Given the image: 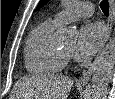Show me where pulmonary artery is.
Here are the masks:
<instances>
[{
    "label": "pulmonary artery",
    "mask_w": 115,
    "mask_h": 99,
    "mask_svg": "<svg viewBox=\"0 0 115 99\" xmlns=\"http://www.w3.org/2000/svg\"><path fill=\"white\" fill-rule=\"evenodd\" d=\"M94 7L90 2L76 1L65 10L56 14L53 22L56 24H63L81 18L89 17L93 14Z\"/></svg>",
    "instance_id": "obj_1"
}]
</instances>
